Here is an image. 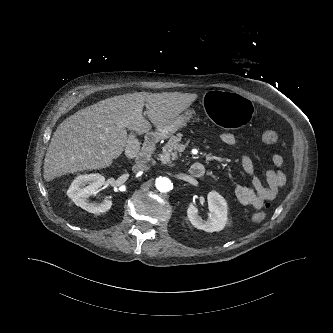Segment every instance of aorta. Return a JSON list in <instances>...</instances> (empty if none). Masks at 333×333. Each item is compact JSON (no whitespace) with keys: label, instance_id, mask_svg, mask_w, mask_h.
Instances as JSON below:
<instances>
[{"label":"aorta","instance_id":"1","mask_svg":"<svg viewBox=\"0 0 333 333\" xmlns=\"http://www.w3.org/2000/svg\"><path fill=\"white\" fill-rule=\"evenodd\" d=\"M156 188L158 191L165 193L172 189V182L167 177H159L156 179Z\"/></svg>","mask_w":333,"mask_h":333}]
</instances>
